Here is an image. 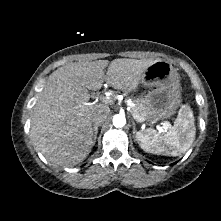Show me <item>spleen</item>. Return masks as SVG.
Masks as SVG:
<instances>
[{"label":"spleen","mask_w":221,"mask_h":221,"mask_svg":"<svg viewBox=\"0 0 221 221\" xmlns=\"http://www.w3.org/2000/svg\"><path fill=\"white\" fill-rule=\"evenodd\" d=\"M196 134L194 116L190 107L183 105L169 131L164 134L155 129L137 132L136 140L140 147L153 154L178 156L186 152L192 145Z\"/></svg>","instance_id":"obj_1"}]
</instances>
